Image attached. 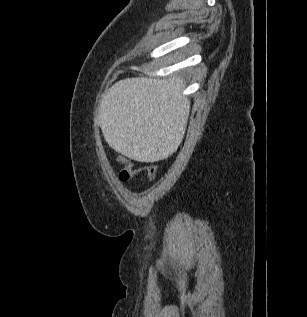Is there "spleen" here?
Segmentation results:
<instances>
[{"label":"spleen","mask_w":307,"mask_h":317,"mask_svg":"<svg viewBox=\"0 0 307 317\" xmlns=\"http://www.w3.org/2000/svg\"><path fill=\"white\" fill-rule=\"evenodd\" d=\"M182 80L125 79L111 87L100 105L106 142L135 160H165L181 148L177 139L189 101ZM182 128V130H181Z\"/></svg>","instance_id":"obj_1"}]
</instances>
